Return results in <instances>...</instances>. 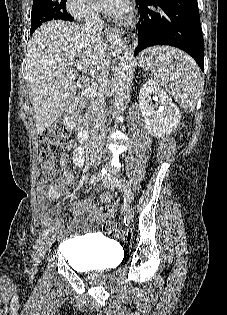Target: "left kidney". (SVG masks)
Listing matches in <instances>:
<instances>
[{
  "mask_svg": "<svg viewBox=\"0 0 227 315\" xmlns=\"http://www.w3.org/2000/svg\"><path fill=\"white\" fill-rule=\"evenodd\" d=\"M139 109L151 135H170L180 124L181 114L166 92L155 81L149 80L139 91Z\"/></svg>",
  "mask_w": 227,
  "mask_h": 315,
  "instance_id": "5707ae66",
  "label": "left kidney"
}]
</instances>
